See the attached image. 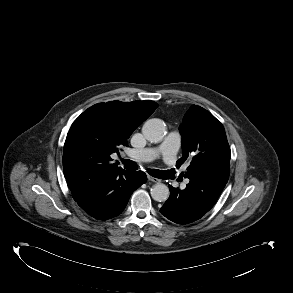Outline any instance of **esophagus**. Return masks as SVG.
<instances>
[{"mask_svg":"<svg viewBox=\"0 0 293 293\" xmlns=\"http://www.w3.org/2000/svg\"><path fill=\"white\" fill-rule=\"evenodd\" d=\"M148 180L149 181H152V182H155V183H159L160 182V180L158 178L152 177L150 175H148Z\"/></svg>","mask_w":293,"mask_h":293,"instance_id":"34e87169","label":"esophagus"}]
</instances>
